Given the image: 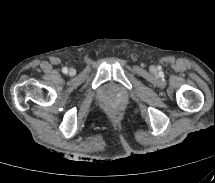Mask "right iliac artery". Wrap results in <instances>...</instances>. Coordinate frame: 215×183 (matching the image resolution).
Listing matches in <instances>:
<instances>
[{
    "label": "right iliac artery",
    "instance_id": "82829eb1",
    "mask_svg": "<svg viewBox=\"0 0 215 183\" xmlns=\"http://www.w3.org/2000/svg\"><path fill=\"white\" fill-rule=\"evenodd\" d=\"M62 71H63V73H67V72H68V69H67L66 67H64V68L62 69Z\"/></svg>",
    "mask_w": 215,
    "mask_h": 183
}]
</instances>
